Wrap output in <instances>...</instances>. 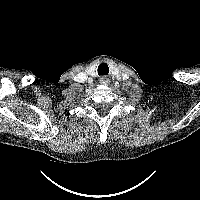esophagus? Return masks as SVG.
Instances as JSON below:
<instances>
[{
	"label": "esophagus",
	"mask_w": 200,
	"mask_h": 200,
	"mask_svg": "<svg viewBox=\"0 0 200 200\" xmlns=\"http://www.w3.org/2000/svg\"><path fill=\"white\" fill-rule=\"evenodd\" d=\"M110 81H109V78H107L106 76H102L100 78V83L101 84H108Z\"/></svg>",
	"instance_id": "esophagus-1"
}]
</instances>
